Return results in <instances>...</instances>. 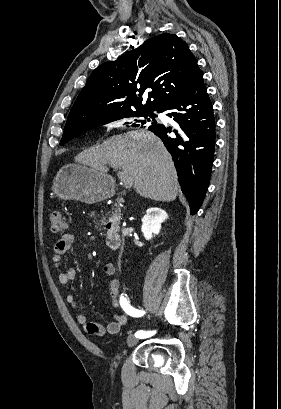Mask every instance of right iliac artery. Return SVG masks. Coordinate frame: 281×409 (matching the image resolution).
I'll list each match as a JSON object with an SVG mask.
<instances>
[{"label": "right iliac artery", "instance_id": "obj_1", "mask_svg": "<svg viewBox=\"0 0 281 409\" xmlns=\"http://www.w3.org/2000/svg\"><path fill=\"white\" fill-rule=\"evenodd\" d=\"M120 304H121V307L123 308V310H124L127 314H129L130 316H133V317H141V316H143V315L145 314L144 311L137 310V309L133 308V307L130 305L129 301H128L124 296H121V298H120ZM153 334H155V331L147 332V331L139 330V331H137V332L135 333V336H136L137 338H146V337L152 336Z\"/></svg>", "mask_w": 281, "mask_h": 409}]
</instances>
